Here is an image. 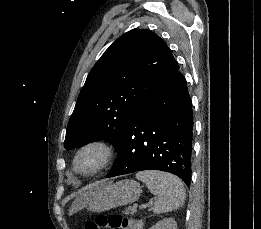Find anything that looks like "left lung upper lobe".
Wrapping results in <instances>:
<instances>
[{"label": "left lung upper lobe", "instance_id": "1", "mask_svg": "<svg viewBox=\"0 0 261 229\" xmlns=\"http://www.w3.org/2000/svg\"><path fill=\"white\" fill-rule=\"evenodd\" d=\"M178 69L164 40L152 31L133 29L119 37L88 75L64 147L105 139L117 149L144 101Z\"/></svg>", "mask_w": 261, "mask_h": 229}]
</instances>
